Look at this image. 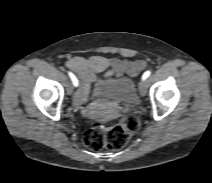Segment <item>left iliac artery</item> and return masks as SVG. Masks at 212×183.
<instances>
[{
  "instance_id": "44dca946",
  "label": "left iliac artery",
  "mask_w": 212,
  "mask_h": 183,
  "mask_svg": "<svg viewBox=\"0 0 212 183\" xmlns=\"http://www.w3.org/2000/svg\"><path fill=\"white\" fill-rule=\"evenodd\" d=\"M151 72L150 71H146L143 76H142V79L145 80L147 79L149 76H150Z\"/></svg>"
}]
</instances>
